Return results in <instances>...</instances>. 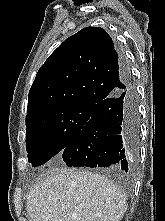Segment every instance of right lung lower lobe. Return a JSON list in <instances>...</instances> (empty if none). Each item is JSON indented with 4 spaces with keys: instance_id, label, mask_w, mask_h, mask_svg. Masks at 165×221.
Here are the masks:
<instances>
[{
    "instance_id": "right-lung-lower-lobe-1",
    "label": "right lung lower lobe",
    "mask_w": 165,
    "mask_h": 221,
    "mask_svg": "<svg viewBox=\"0 0 165 221\" xmlns=\"http://www.w3.org/2000/svg\"><path fill=\"white\" fill-rule=\"evenodd\" d=\"M124 76L127 72L123 71ZM139 142V115L131 82L94 106L93 114L61 152L72 167H116L128 173Z\"/></svg>"
}]
</instances>
